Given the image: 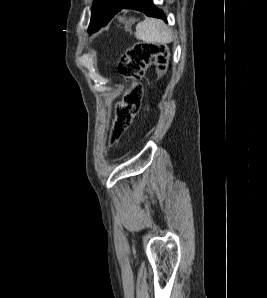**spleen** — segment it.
I'll list each match as a JSON object with an SVG mask.
<instances>
[{"mask_svg": "<svg viewBox=\"0 0 267 298\" xmlns=\"http://www.w3.org/2000/svg\"><path fill=\"white\" fill-rule=\"evenodd\" d=\"M135 37L146 43L167 44L173 41V32L163 21L146 18L137 24Z\"/></svg>", "mask_w": 267, "mask_h": 298, "instance_id": "3e777b00", "label": "spleen"}]
</instances>
